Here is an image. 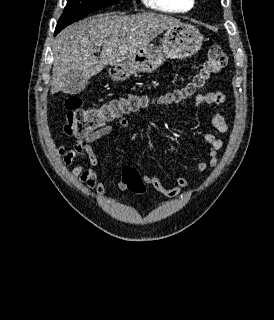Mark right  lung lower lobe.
Segmentation results:
<instances>
[{
  "instance_id": "1",
  "label": "right lung lower lobe",
  "mask_w": 274,
  "mask_h": 320,
  "mask_svg": "<svg viewBox=\"0 0 274 320\" xmlns=\"http://www.w3.org/2000/svg\"><path fill=\"white\" fill-rule=\"evenodd\" d=\"M58 32L55 30V35L57 34Z\"/></svg>"
}]
</instances>
